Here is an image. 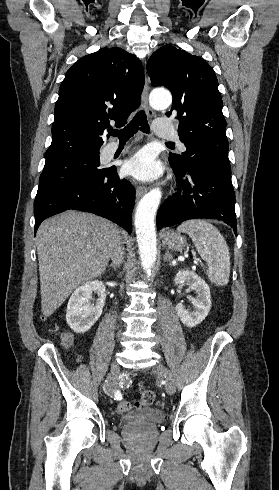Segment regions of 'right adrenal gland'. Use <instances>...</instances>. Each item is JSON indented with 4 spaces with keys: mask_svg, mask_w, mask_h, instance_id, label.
Returning <instances> with one entry per match:
<instances>
[{
    "mask_svg": "<svg viewBox=\"0 0 279 490\" xmlns=\"http://www.w3.org/2000/svg\"><path fill=\"white\" fill-rule=\"evenodd\" d=\"M117 268H119V266H114V264H110L109 270H117Z\"/></svg>",
    "mask_w": 279,
    "mask_h": 490,
    "instance_id": "obj_1",
    "label": "right adrenal gland"
}]
</instances>
